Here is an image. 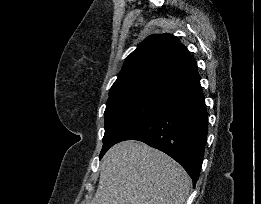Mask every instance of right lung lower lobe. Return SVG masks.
Segmentation results:
<instances>
[{"label": "right lung lower lobe", "mask_w": 261, "mask_h": 204, "mask_svg": "<svg viewBox=\"0 0 261 204\" xmlns=\"http://www.w3.org/2000/svg\"><path fill=\"white\" fill-rule=\"evenodd\" d=\"M208 114L200 75L171 89L145 117L117 141L139 140L159 149L187 171L195 186L207 140ZM115 143V144H116Z\"/></svg>", "instance_id": "98d812e1"}]
</instances>
